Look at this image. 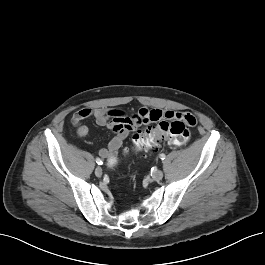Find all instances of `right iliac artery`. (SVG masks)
<instances>
[{"label": "right iliac artery", "instance_id": "obj_1", "mask_svg": "<svg viewBox=\"0 0 265 265\" xmlns=\"http://www.w3.org/2000/svg\"><path fill=\"white\" fill-rule=\"evenodd\" d=\"M96 163L98 165H102L103 164V162H102V160L100 158H96Z\"/></svg>", "mask_w": 265, "mask_h": 265}]
</instances>
